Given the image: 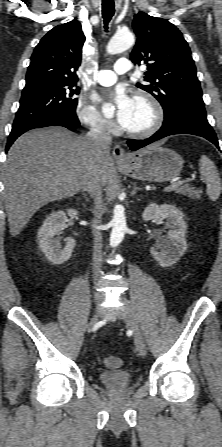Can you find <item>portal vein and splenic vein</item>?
<instances>
[{"label": "portal vein and splenic vein", "instance_id": "portal-vein-and-splenic-vein-1", "mask_svg": "<svg viewBox=\"0 0 222 447\" xmlns=\"http://www.w3.org/2000/svg\"><path fill=\"white\" fill-rule=\"evenodd\" d=\"M185 181L184 180H178L173 182L172 184L168 185L167 187L164 188V191H172L175 190L177 188H179Z\"/></svg>", "mask_w": 222, "mask_h": 447}]
</instances>
